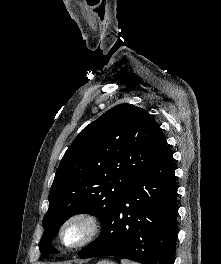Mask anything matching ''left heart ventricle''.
<instances>
[{"label":"left heart ventricle","mask_w":221,"mask_h":264,"mask_svg":"<svg viewBox=\"0 0 221 264\" xmlns=\"http://www.w3.org/2000/svg\"><path fill=\"white\" fill-rule=\"evenodd\" d=\"M86 232V228L82 223H73L64 231V241L68 244H73L81 240Z\"/></svg>","instance_id":"obj_1"}]
</instances>
